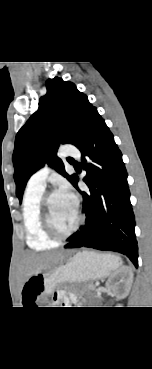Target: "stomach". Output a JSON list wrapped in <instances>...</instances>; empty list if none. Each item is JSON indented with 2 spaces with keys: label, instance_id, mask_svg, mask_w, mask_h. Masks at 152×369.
<instances>
[{
  "label": "stomach",
  "instance_id": "obj_1",
  "mask_svg": "<svg viewBox=\"0 0 152 369\" xmlns=\"http://www.w3.org/2000/svg\"><path fill=\"white\" fill-rule=\"evenodd\" d=\"M120 265V259L110 254L79 252L54 271L37 273L23 284L22 298L38 302L51 294L56 286L65 281L85 282L107 277Z\"/></svg>",
  "mask_w": 152,
  "mask_h": 369
}]
</instances>
